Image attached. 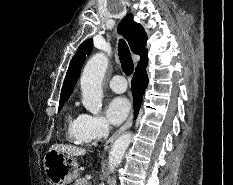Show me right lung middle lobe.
Segmentation results:
<instances>
[{"mask_svg": "<svg viewBox=\"0 0 233 185\" xmlns=\"http://www.w3.org/2000/svg\"><path fill=\"white\" fill-rule=\"evenodd\" d=\"M65 102H66V101H61V102L59 103V109H58V111H60L61 107L63 106V104H64Z\"/></svg>", "mask_w": 233, "mask_h": 185, "instance_id": "dd1d6c3e", "label": "right lung middle lobe"}]
</instances>
